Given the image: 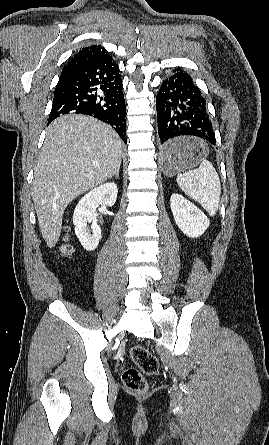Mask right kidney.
<instances>
[{"instance_id": "right-kidney-1", "label": "right kidney", "mask_w": 269, "mask_h": 445, "mask_svg": "<svg viewBox=\"0 0 269 445\" xmlns=\"http://www.w3.org/2000/svg\"><path fill=\"white\" fill-rule=\"evenodd\" d=\"M117 193L118 188L114 182L104 183L88 192L78 202L73 215L75 234L87 251L95 250L101 238V227L96 222L94 211L99 205L102 207L113 206L117 199ZM87 223H92V232Z\"/></svg>"}]
</instances>
